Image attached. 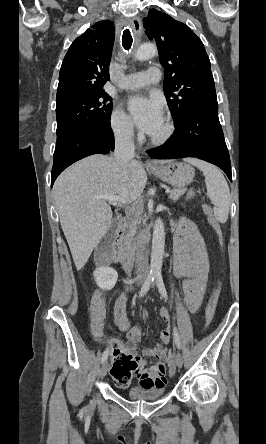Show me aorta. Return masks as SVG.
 I'll return each instance as SVG.
<instances>
[{
	"label": "aorta",
	"instance_id": "aorta-1",
	"mask_svg": "<svg viewBox=\"0 0 266 444\" xmlns=\"http://www.w3.org/2000/svg\"><path fill=\"white\" fill-rule=\"evenodd\" d=\"M156 54V47L154 44H142L136 51L135 59L142 61L153 57ZM165 245V230L164 224L160 218L155 221L152 237L151 262L150 272L152 275H157L161 272L163 254Z\"/></svg>",
	"mask_w": 266,
	"mask_h": 444
}]
</instances>
